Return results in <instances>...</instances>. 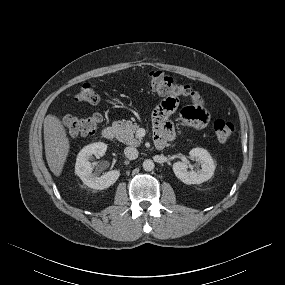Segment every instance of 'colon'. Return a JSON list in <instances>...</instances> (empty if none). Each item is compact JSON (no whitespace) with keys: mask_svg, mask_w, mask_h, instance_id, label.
Wrapping results in <instances>:
<instances>
[{"mask_svg":"<svg viewBox=\"0 0 285 285\" xmlns=\"http://www.w3.org/2000/svg\"><path fill=\"white\" fill-rule=\"evenodd\" d=\"M148 84L162 98L167 94H175L180 100H197L199 98V94L190 86L180 83L161 72H151L148 75ZM75 100L80 103L95 105L99 103L100 98L92 83H84L76 93ZM101 121L102 116L99 113L89 117L64 116L62 118L66 131L72 136L93 134ZM213 130L218 141L226 142L234 136L236 127L229 121L219 119L214 122Z\"/></svg>","mask_w":285,"mask_h":285,"instance_id":"obj_1","label":"colon"}]
</instances>
